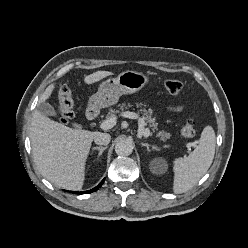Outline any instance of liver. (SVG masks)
Returning <instances> with one entry per match:
<instances>
[{"instance_id": "6515ba94", "label": "liver", "mask_w": 248, "mask_h": 248, "mask_svg": "<svg viewBox=\"0 0 248 248\" xmlns=\"http://www.w3.org/2000/svg\"><path fill=\"white\" fill-rule=\"evenodd\" d=\"M97 71L84 78L90 85L112 75ZM55 85L46 88L39 103L52 94ZM97 132L69 128L35 110L30 126L32 155L38 171L59 188L80 190L85 179V164Z\"/></svg>"}]
</instances>
